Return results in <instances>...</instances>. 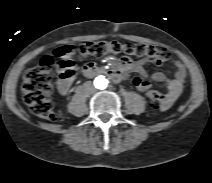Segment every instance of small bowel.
Returning a JSON list of instances; mask_svg holds the SVG:
<instances>
[{
  "label": "small bowel",
  "mask_w": 212,
  "mask_h": 183,
  "mask_svg": "<svg viewBox=\"0 0 212 183\" xmlns=\"http://www.w3.org/2000/svg\"><path fill=\"white\" fill-rule=\"evenodd\" d=\"M147 62L148 59L133 61L126 57L120 59L118 62V69L122 74H127L129 72H134L137 74L133 79V84L141 92H145L148 88H151L150 82L146 80V78L149 77V74L145 69V64ZM150 78L154 82L163 83L166 85V100L159 107V110L165 111L172 106L182 92L186 80V69L182 63L176 62L174 78L169 79L163 72H155L150 76ZM73 79L74 77L67 78L62 74L61 71H59L57 89L60 94L66 95L69 92ZM147 82H149V85L146 84Z\"/></svg>",
  "instance_id": "obj_1"
}]
</instances>
